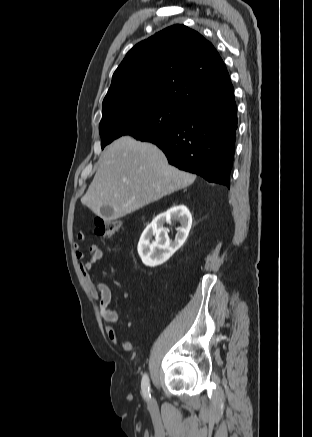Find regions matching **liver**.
Returning a JSON list of instances; mask_svg holds the SVG:
<instances>
[{"label": "liver", "mask_w": 312, "mask_h": 437, "mask_svg": "<svg viewBox=\"0 0 312 437\" xmlns=\"http://www.w3.org/2000/svg\"><path fill=\"white\" fill-rule=\"evenodd\" d=\"M196 176L169 165L154 144L123 136L103 151L99 167L81 198L96 215L102 206L113 208L118 219L191 185Z\"/></svg>", "instance_id": "6515ba94"}]
</instances>
